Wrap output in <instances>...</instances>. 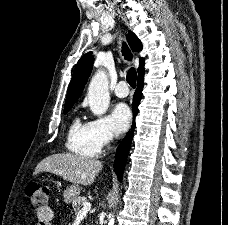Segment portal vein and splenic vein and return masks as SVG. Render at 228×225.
<instances>
[{"label": "portal vein and splenic vein", "instance_id": "18ae733b", "mask_svg": "<svg viewBox=\"0 0 228 225\" xmlns=\"http://www.w3.org/2000/svg\"><path fill=\"white\" fill-rule=\"evenodd\" d=\"M92 205L91 203H84L81 211H79L78 215H82V213H87V211H90Z\"/></svg>", "mask_w": 228, "mask_h": 225}]
</instances>
